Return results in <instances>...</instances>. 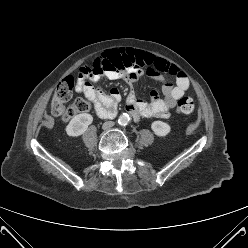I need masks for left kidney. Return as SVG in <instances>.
Here are the masks:
<instances>
[{"label":"left kidney","instance_id":"1","mask_svg":"<svg viewBox=\"0 0 248 248\" xmlns=\"http://www.w3.org/2000/svg\"><path fill=\"white\" fill-rule=\"evenodd\" d=\"M151 129L157 136L160 137L166 136L171 131V127L169 124L159 120L154 121L151 124Z\"/></svg>","mask_w":248,"mask_h":248}]
</instances>
